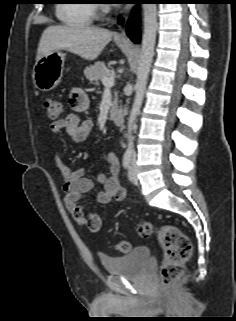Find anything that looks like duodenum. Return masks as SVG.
I'll return each mask as SVG.
<instances>
[{"label":"duodenum","mask_w":236,"mask_h":321,"mask_svg":"<svg viewBox=\"0 0 236 321\" xmlns=\"http://www.w3.org/2000/svg\"><path fill=\"white\" fill-rule=\"evenodd\" d=\"M111 120L116 125H122L124 123V114L122 112H114L111 115Z\"/></svg>","instance_id":"1"}]
</instances>
